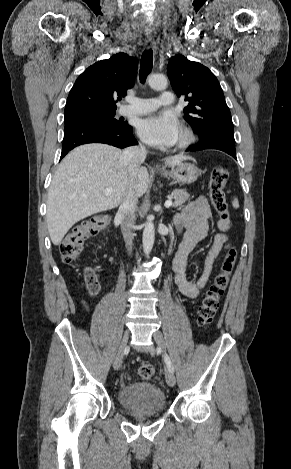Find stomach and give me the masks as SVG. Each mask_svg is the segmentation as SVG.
<instances>
[{"mask_svg": "<svg viewBox=\"0 0 291 469\" xmlns=\"http://www.w3.org/2000/svg\"><path fill=\"white\" fill-rule=\"evenodd\" d=\"M162 174L177 183L188 184L197 180L200 171L195 164L184 162L173 167L170 171L162 170Z\"/></svg>", "mask_w": 291, "mask_h": 469, "instance_id": "obj_1", "label": "stomach"}]
</instances>
